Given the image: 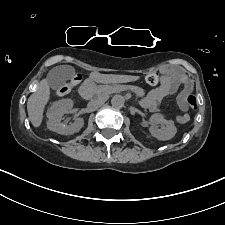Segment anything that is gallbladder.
Here are the masks:
<instances>
[{"label":"gallbladder","instance_id":"1","mask_svg":"<svg viewBox=\"0 0 225 225\" xmlns=\"http://www.w3.org/2000/svg\"><path fill=\"white\" fill-rule=\"evenodd\" d=\"M74 75V68L68 65H61L53 68L47 75L49 86L54 89H60Z\"/></svg>","mask_w":225,"mask_h":225}]
</instances>
